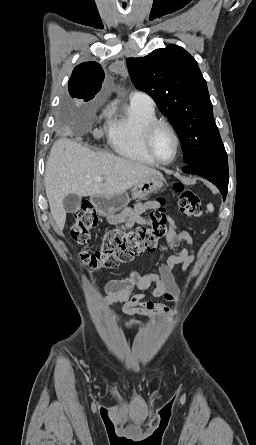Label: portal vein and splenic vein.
I'll return each mask as SVG.
<instances>
[{
	"label": "portal vein and splenic vein",
	"mask_w": 256,
	"mask_h": 445,
	"mask_svg": "<svg viewBox=\"0 0 256 445\" xmlns=\"http://www.w3.org/2000/svg\"><path fill=\"white\" fill-rule=\"evenodd\" d=\"M95 181H96V182H102V181H103V178H102V177H96V178H95Z\"/></svg>",
	"instance_id": "1"
}]
</instances>
